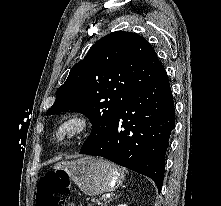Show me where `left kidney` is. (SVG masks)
<instances>
[{"mask_svg":"<svg viewBox=\"0 0 221 206\" xmlns=\"http://www.w3.org/2000/svg\"><path fill=\"white\" fill-rule=\"evenodd\" d=\"M118 206H127L126 204H120V205H118Z\"/></svg>","mask_w":221,"mask_h":206,"instance_id":"obj_1","label":"left kidney"}]
</instances>
